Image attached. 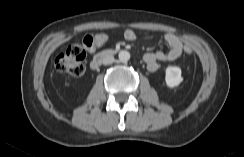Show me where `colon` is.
Masks as SVG:
<instances>
[{"instance_id": "obj_1", "label": "colon", "mask_w": 244, "mask_h": 157, "mask_svg": "<svg viewBox=\"0 0 244 157\" xmlns=\"http://www.w3.org/2000/svg\"><path fill=\"white\" fill-rule=\"evenodd\" d=\"M108 40L106 33L96 35L88 34L84 36L81 43L73 44L68 49L60 54L55 61L56 69L73 77H79L84 73V59L86 51H94L98 47L105 44ZM184 52L190 55L193 50L190 45L184 46Z\"/></svg>"}]
</instances>
